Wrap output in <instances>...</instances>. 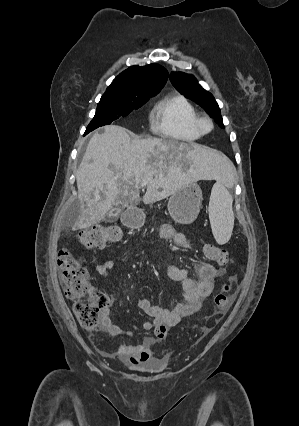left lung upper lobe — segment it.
<instances>
[{"mask_svg": "<svg viewBox=\"0 0 299 426\" xmlns=\"http://www.w3.org/2000/svg\"><path fill=\"white\" fill-rule=\"evenodd\" d=\"M170 81L181 94L202 106L218 125L224 128L220 108L214 97L204 90L192 75L173 72L170 75Z\"/></svg>", "mask_w": 299, "mask_h": 426, "instance_id": "1", "label": "left lung upper lobe"}]
</instances>
